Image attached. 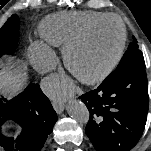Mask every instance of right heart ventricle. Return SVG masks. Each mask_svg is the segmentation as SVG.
Segmentation results:
<instances>
[{
	"label": "right heart ventricle",
	"mask_w": 151,
	"mask_h": 151,
	"mask_svg": "<svg viewBox=\"0 0 151 151\" xmlns=\"http://www.w3.org/2000/svg\"><path fill=\"white\" fill-rule=\"evenodd\" d=\"M107 15L96 11H67L52 14L42 20L39 32L47 44L65 46L89 24Z\"/></svg>",
	"instance_id": "obj_1"
}]
</instances>
